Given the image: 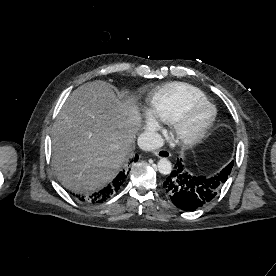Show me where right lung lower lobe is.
<instances>
[{"mask_svg": "<svg viewBox=\"0 0 276 276\" xmlns=\"http://www.w3.org/2000/svg\"><path fill=\"white\" fill-rule=\"evenodd\" d=\"M139 156L136 154L135 157L130 159L129 164L136 162L138 160ZM128 172L126 169H123L116 177L115 179L105 188L102 190L92 194L89 197H84V196H78L76 197L79 198L81 201H89L93 203H101L105 201L106 199L110 198L112 195L116 194L118 190L121 188L123 185L125 178L127 176Z\"/></svg>", "mask_w": 276, "mask_h": 276, "instance_id": "right-lung-lower-lobe-1", "label": "right lung lower lobe"}]
</instances>
